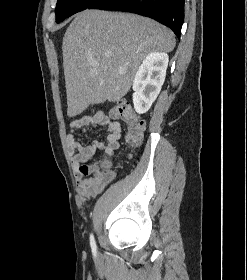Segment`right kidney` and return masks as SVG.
Masks as SVG:
<instances>
[{
  "mask_svg": "<svg viewBox=\"0 0 247 280\" xmlns=\"http://www.w3.org/2000/svg\"><path fill=\"white\" fill-rule=\"evenodd\" d=\"M168 61L166 53L151 52L139 66L133 81V103L138 114L147 112L160 93Z\"/></svg>",
  "mask_w": 247,
  "mask_h": 280,
  "instance_id": "right-kidney-1",
  "label": "right kidney"
}]
</instances>
